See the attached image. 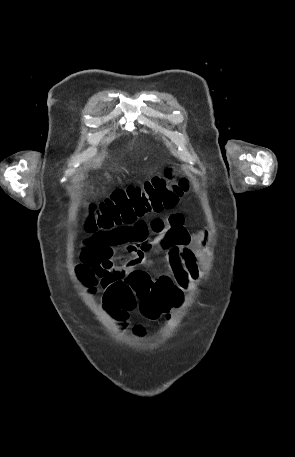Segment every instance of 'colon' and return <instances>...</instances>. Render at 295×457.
<instances>
[{"label": "colon", "instance_id": "1", "mask_svg": "<svg viewBox=\"0 0 295 457\" xmlns=\"http://www.w3.org/2000/svg\"><path fill=\"white\" fill-rule=\"evenodd\" d=\"M187 182L176 178L171 167L164 175L154 176L141 185H130L115 190L108 198L93 204L88 209L85 226L89 231L109 230L130 226L151 212H162L173 208L184 191ZM136 251L130 248L129 253ZM123 259L114 263L112 256L103 263L77 265L78 277L90 288L97 279L105 288L104 304L117 320L125 321L137 302L148 319H156L175 305L177 290L169 278L154 282L144 271H132L126 276Z\"/></svg>", "mask_w": 295, "mask_h": 457}]
</instances>
